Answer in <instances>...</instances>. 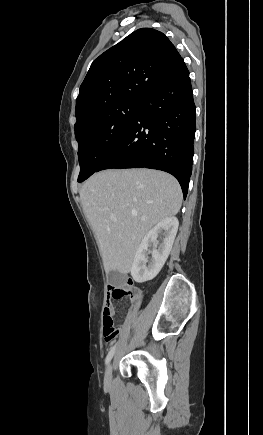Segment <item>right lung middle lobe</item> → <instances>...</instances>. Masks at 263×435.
<instances>
[{
	"mask_svg": "<svg viewBox=\"0 0 263 435\" xmlns=\"http://www.w3.org/2000/svg\"><path fill=\"white\" fill-rule=\"evenodd\" d=\"M142 101L125 99L109 103L75 127L79 143L78 182L86 180L101 166L128 129Z\"/></svg>",
	"mask_w": 263,
	"mask_h": 435,
	"instance_id": "1",
	"label": "right lung middle lobe"
}]
</instances>
